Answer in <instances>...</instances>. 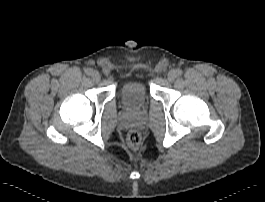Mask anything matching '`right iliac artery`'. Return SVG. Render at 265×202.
<instances>
[{"label": "right iliac artery", "mask_w": 265, "mask_h": 202, "mask_svg": "<svg viewBox=\"0 0 265 202\" xmlns=\"http://www.w3.org/2000/svg\"><path fill=\"white\" fill-rule=\"evenodd\" d=\"M84 72H85L86 75H91V73H92V69H91V68H86V69L84 70Z\"/></svg>", "instance_id": "82829eb1"}]
</instances>
